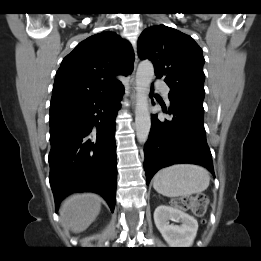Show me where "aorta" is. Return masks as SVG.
I'll return each mask as SVG.
<instances>
[{
    "label": "aorta",
    "instance_id": "1",
    "mask_svg": "<svg viewBox=\"0 0 261 261\" xmlns=\"http://www.w3.org/2000/svg\"><path fill=\"white\" fill-rule=\"evenodd\" d=\"M153 76V64L148 60L140 62L136 72L135 107V128L137 139L140 143H145L147 141L151 128V117L148 107V94Z\"/></svg>",
    "mask_w": 261,
    "mask_h": 261
}]
</instances>
